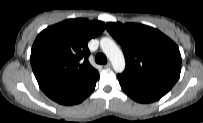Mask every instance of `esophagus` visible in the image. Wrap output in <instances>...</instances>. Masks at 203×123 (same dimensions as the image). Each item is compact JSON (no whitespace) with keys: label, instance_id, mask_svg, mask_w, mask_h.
I'll use <instances>...</instances> for the list:
<instances>
[{"label":"esophagus","instance_id":"esophagus-1","mask_svg":"<svg viewBox=\"0 0 203 123\" xmlns=\"http://www.w3.org/2000/svg\"><path fill=\"white\" fill-rule=\"evenodd\" d=\"M105 67H111V63L108 62V63L105 65Z\"/></svg>","mask_w":203,"mask_h":123}]
</instances>
